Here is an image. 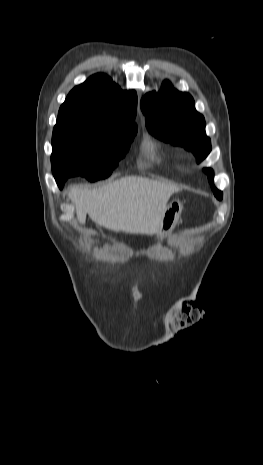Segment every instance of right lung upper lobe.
<instances>
[{
    "label": "right lung upper lobe",
    "mask_w": 263,
    "mask_h": 465,
    "mask_svg": "<svg viewBox=\"0 0 263 465\" xmlns=\"http://www.w3.org/2000/svg\"><path fill=\"white\" fill-rule=\"evenodd\" d=\"M136 112L135 91L121 90L102 73L76 86L59 109V113L87 114L118 121H134Z\"/></svg>",
    "instance_id": "obj_1"
}]
</instances>
